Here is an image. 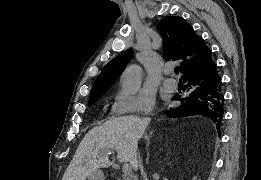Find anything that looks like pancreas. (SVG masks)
<instances>
[{"instance_id":"1","label":"pancreas","mask_w":261,"mask_h":180,"mask_svg":"<svg viewBox=\"0 0 261 180\" xmlns=\"http://www.w3.org/2000/svg\"><path fill=\"white\" fill-rule=\"evenodd\" d=\"M118 180H123V174H120V177L118 178Z\"/></svg>"}]
</instances>
